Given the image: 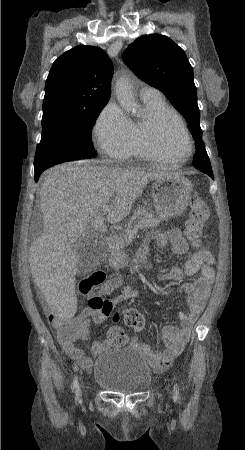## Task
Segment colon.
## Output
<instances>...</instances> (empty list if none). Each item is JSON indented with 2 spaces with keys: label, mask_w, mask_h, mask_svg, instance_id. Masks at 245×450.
I'll return each instance as SVG.
<instances>
[{
  "label": "colon",
  "mask_w": 245,
  "mask_h": 450,
  "mask_svg": "<svg viewBox=\"0 0 245 450\" xmlns=\"http://www.w3.org/2000/svg\"><path fill=\"white\" fill-rule=\"evenodd\" d=\"M188 206L190 212L184 226V235L190 245L197 247L200 244L202 229L210 211L198 194H192L189 197ZM199 253L205 263H213V257L207 249H201ZM119 280V276H108L103 270L93 269L84 275L80 288L82 292L92 294L91 308L111 312L112 307H109L106 303L107 300L102 299L99 295L111 293ZM123 321L135 332H140L145 326V318L133 307L125 309ZM51 325L58 331L60 338L66 342L84 338L87 334L85 324L82 322L53 318ZM108 335L114 345H122L128 341L127 335L117 327L111 329Z\"/></svg>",
  "instance_id": "colon-1"
}]
</instances>
